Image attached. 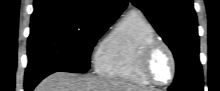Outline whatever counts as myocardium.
<instances>
[{"label":"myocardium","instance_id":"myocardium-1","mask_svg":"<svg viewBox=\"0 0 220 91\" xmlns=\"http://www.w3.org/2000/svg\"><path fill=\"white\" fill-rule=\"evenodd\" d=\"M163 48L167 54L169 55L170 62H171V73L170 77L166 82H160L157 79H155L150 71V60L153 56V54L159 49ZM138 67L141 75L151 84L157 85V86H167L172 83V81L175 78L176 75V58L174 55L173 50L171 47L158 39L152 40L148 44H146L143 49L140 52L139 59H138Z\"/></svg>","mask_w":220,"mask_h":91}]
</instances>
